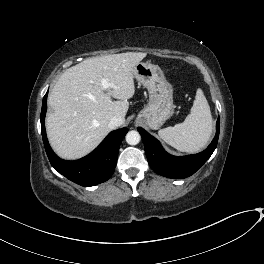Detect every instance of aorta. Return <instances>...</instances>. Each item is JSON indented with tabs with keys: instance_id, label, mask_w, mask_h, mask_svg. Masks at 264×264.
I'll return each mask as SVG.
<instances>
[{
	"instance_id": "1",
	"label": "aorta",
	"mask_w": 264,
	"mask_h": 264,
	"mask_svg": "<svg viewBox=\"0 0 264 264\" xmlns=\"http://www.w3.org/2000/svg\"><path fill=\"white\" fill-rule=\"evenodd\" d=\"M140 134L137 131H129L126 135V142L129 145H137L140 142Z\"/></svg>"
}]
</instances>
